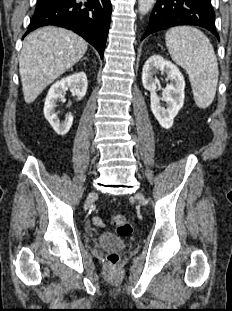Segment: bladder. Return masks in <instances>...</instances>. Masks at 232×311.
<instances>
[{"instance_id": "bladder-1", "label": "bladder", "mask_w": 232, "mask_h": 311, "mask_svg": "<svg viewBox=\"0 0 232 311\" xmlns=\"http://www.w3.org/2000/svg\"><path fill=\"white\" fill-rule=\"evenodd\" d=\"M97 244L100 248L120 250L126 246L124 238L120 235L104 232L97 238Z\"/></svg>"}]
</instances>
